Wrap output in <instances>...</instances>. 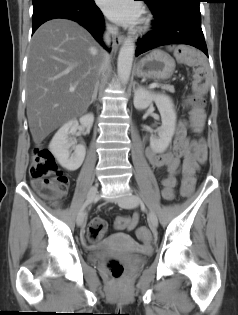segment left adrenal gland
<instances>
[{"instance_id":"obj_1","label":"left adrenal gland","mask_w":238,"mask_h":315,"mask_svg":"<svg viewBox=\"0 0 238 315\" xmlns=\"http://www.w3.org/2000/svg\"><path fill=\"white\" fill-rule=\"evenodd\" d=\"M134 92L136 91L135 86L133 87Z\"/></svg>"}]
</instances>
